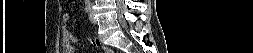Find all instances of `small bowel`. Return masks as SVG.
I'll list each match as a JSON object with an SVG mask.
<instances>
[{
	"instance_id": "small-bowel-1",
	"label": "small bowel",
	"mask_w": 253,
	"mask_h": 53,
	"mask_svg": "<svg viewBox=\"0 0 253 53\" xmlns=\"http://www.w3.org/2000/svg\"><path fill=\"white\" fill-rule=\"evenodd\" d=\"M62 20L64 23H67L69 20L68 14H64L62 17ZM77 43V40L75 37L71 35L68 28L66 26H63L62 28V46L64 48L65 53H72L75 50V44Z\"/></svg>"
}]
</instances>
